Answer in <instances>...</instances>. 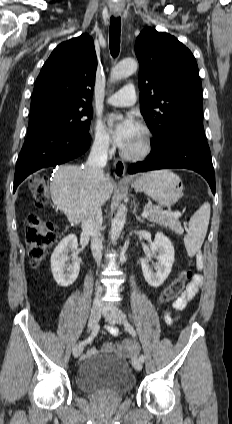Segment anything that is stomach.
<instances>
[{
	"label": "stomach",
	"mask_w": 232,
	"mask_h": 424,
	"mask_svg": "<svg viewBox=\"0 0 232 424\" xmlns=\"http://www.w3.org/2000/svg\"><path fill=\"white\" fill-rule=\"evenodd\" d=\"M131 186L158 203V207H170L182 196L181 179L170 170L145 173L130 182Z\"/></svg>",
	"instance_id": "0dacf381"
}]
</instances>
